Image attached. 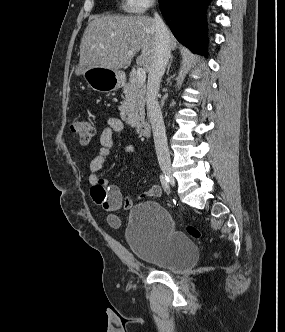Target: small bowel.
<instances>
[{"instance_id":"obj_1","label":"small bowel","mask_w":285,"mask_h":332,"mask_svg":"<svg viewBox=\"0 0 285 332\" xmlns=\"http://www.w3.org/2000/svg\"><path fill=\"white\" fill-rule=\"evenodd\" d=\"M124 130V123L121 119L112 117L107 120V125L101 131L99 137V150L89 164L90 195L94 203L108 213V223L114 228L120 226V218L116 213L121 209H130L133 205L131 197H123L121 190L116 185H110L106 178L100 176V171L109 156L114 143V134ZM134 146L124 147V153H133ZM161 195V188L157 185L151 186L142 197L156 198Z\"/></svg>"}]
</instances>
